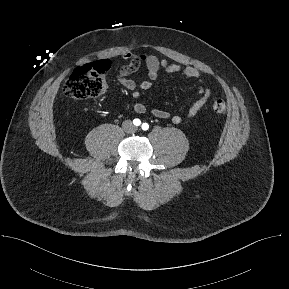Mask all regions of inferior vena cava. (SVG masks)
I'll list each match as a JSON object with an SVG mask.
<instances>
[{"label":"inferior vena cava","mask_w":289,"mask_h":289,"mask_svg":"<svg viewBox=\"0 0 289 289\" xmlns=\"http://www.w3.org/2000/svg\"><path fill=\"white\" fill-rule=\"evenodd\" d=\"M123 128H124V130H126L128 132L129 129H131V128L134 129V126L130 120H126L123 122Z\"/></svg>","instance_id":"1"}]
</instances>
